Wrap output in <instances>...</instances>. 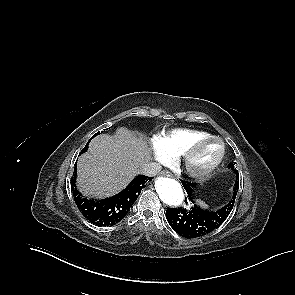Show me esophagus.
Masks as SVG:
<instances>
[{
  "mask_svg": "<svg viewBox=\"0 0 295 295\" xmlns=\"http://www.w3.org/2000/svg\"><path fill=\"white\" fill-rule=\"evenodd\" d=\"M162 176H167V177H172V173L167 171V170H163L160 173Z\"/></svg>",
  "mask_w": 295,
  "mask_h": 295,
  "instance_id": "obj_1",
  "label": "esophagus"
}]
</instances>
